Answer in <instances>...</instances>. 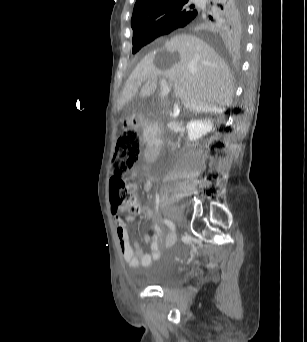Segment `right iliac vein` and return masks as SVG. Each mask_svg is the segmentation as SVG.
<instances>
[{"label":"right iliac vein","mask_w":307,"mask_h":342,"mask_svg":"<svg viewBox=\"0 0 307 342\" xmlns=\"http://www.w3.org/2000/svg\"><path fill=\"white\" fill-rule=\"evenodd\" d=\"M177 237H176V234L175 233H171L168 238H167V241H166V246L169 247L171 246L172 244L175 243Z\"/></svg>","instance_id":"1"}]
</instances>
